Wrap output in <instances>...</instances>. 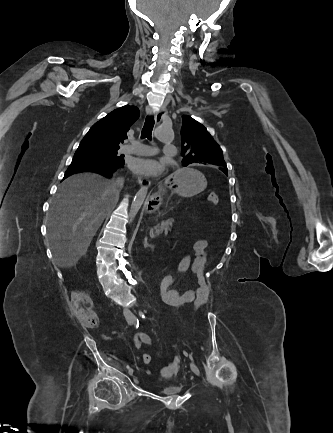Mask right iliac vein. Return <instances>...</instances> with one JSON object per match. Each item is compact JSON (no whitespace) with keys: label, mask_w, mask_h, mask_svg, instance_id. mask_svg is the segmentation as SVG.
<instances>
[{"label":"right iliac vein","mask_w":333,"mask_h":433,"mask_svg":"<svg viewBox=\"0 0 333 433\" xmlns=\"http://www.w3.org/2000/svg\"><path fill=\"white\" fill-rule=\"evenodd\" d=\"M128 373H129L130 376H132L133 375V369L130 368L129 371H128ZM135 381L137 382V379H135Z\"/></svg>","instance_id":"1"}]
</instances>
